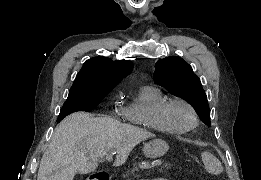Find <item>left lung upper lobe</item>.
Wrapping results in <instances>:
<instances>
[{
	"label": "left lung upper lobe",
	"mask_w": 261,
	"mask_h": 180,
	"mask_svg": "<svg viewBox=\"0 0 261 180\" xmlns=\"http://www.w3.org/2000/svg\"><path fill=\"white\" fill-rule=\"evenodd\" d=\"M154 81L190 103L204 124H210V109L200 79L191 66L180 57H166L157 61Z\"/></svg>",
	"instance_id": "left-lung-upper-lobe-1"
}]
</instances>
